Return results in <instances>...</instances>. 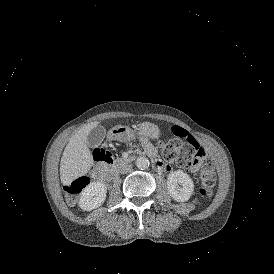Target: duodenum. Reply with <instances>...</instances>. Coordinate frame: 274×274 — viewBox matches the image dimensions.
Returning a JSON list of instances; mask_svg holds the SVG:
<instances>
[{
	"instance_id": "obj_1",
	"label": "duodenum",
	"mask_w": 274,
	"mask_h": 274,
	"mask_svg": "<svg viewBox=\"0 0 274 274\" xmlns=\"http://www.w3.org/2000/svg\"><path fill=\"white\" fill-rule=\"evenodd\" d=\"M148 155H152L151 152L147 153ZM94 160L103 168H106L110 171L112 175L116 174L119 167L127 162L130 161V159H123L119 161H113L109 156H107L104 153L97 152L94 154ZM154 167L159 171H169V166H167L165 163H163L161 160L153 157L152 158Z\"/></svg>"
}]
</instances>
